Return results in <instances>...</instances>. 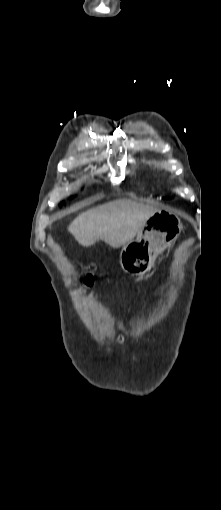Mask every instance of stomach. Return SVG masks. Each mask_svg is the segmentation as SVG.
I'll use <instances>...</instances> for the list:
<instances>
[{"mask_svg":"<svg viewBox=\"0 0 221 510\" xmlns=\"http://www.w3.org/2000/svg\"><path fill=\"white\" fill-rule=\"evenodd\" d=\"M182 223L177 215L158 211L147 219L136 240L125 244L120 252V265L129 274H144L157 256L180 235Z\"/></svg>","mask_w":221,"mask_h":510,"instance_id":"1","label":"stomach"}]
</instances>
